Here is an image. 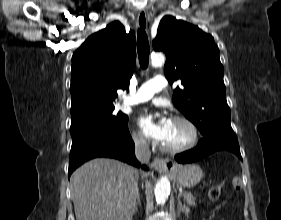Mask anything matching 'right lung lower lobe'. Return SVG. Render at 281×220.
I'll use <instances>...</instances> for the list:
<instances>
[{"mask_svg":"<svg viewBox=\"0 0 281 220\" xmlns=\"http://www.w3.org/2000/svg\"><path fill=\"white\" fill-rule=\"evenodd\" d=\"M97 157L115 158L141 166L135 157V145L130 133L112 136L95 134L72 140L68 176L84 162ZM142 168L147 169L146 166Z\"/></svg>","mask_w":281,"mask_h":220,"instance_id":"98d812e1","label":"right lung lower lobe"}]
</instances>
